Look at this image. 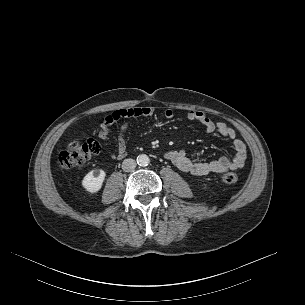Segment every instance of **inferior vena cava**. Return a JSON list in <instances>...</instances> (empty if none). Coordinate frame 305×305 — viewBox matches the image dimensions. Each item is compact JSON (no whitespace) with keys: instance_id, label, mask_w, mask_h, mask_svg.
<instances>
[{"instance_id":"602c4592","label":"inferior vena cava","mask_w":305,"mask_h":305,"mask_svg":"<svg viewBox=\"0 0 305 305\" xmlns=\"http://www.w3.org/2000/svg\"><path fill=\"white\" fill-rule=\"evenodd\" d=\"M136 167V161L134 159L128 158L125 159L122 163V169L125 172H130Z\"/></svg>"}]
</instances>
